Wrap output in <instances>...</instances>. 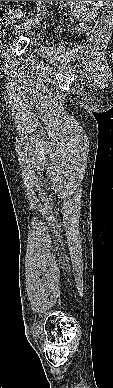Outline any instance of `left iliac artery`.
I'll list each match as a JSON object with an SVG mask.
<instances>
[{"mask_svg":"<svg viewBox=\"0 0 113 388\" xmlns=\"http://www.w3.org/2000/svg\"><path fill=\"white\" fill-rule=\"evenodd\" d=\"M37 9H39L42 6V1H37Z\"/></svg>","mask_w":113,"mask_h":388,"instance_id":"left-iliac-artery-1","label":"left iliac artery"}]
</instances>
